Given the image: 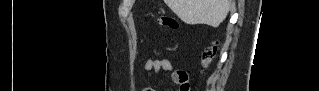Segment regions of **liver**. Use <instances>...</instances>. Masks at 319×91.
<instances>
[{"instance_id": "obj_1", "label": "liver", "mask_w": 319, "mask_h": 91, "mask_svg": "<svg viewBox=\"0 0 319 91\" xmlns=\"http://www.w3.org/2000/svg\"><path fill=\"white\" fill-rule=\"evenodd\" d=\"M168 7L187 24L218 27L226 18L231 0H165Z\"/></svg>"}]
</instances>
